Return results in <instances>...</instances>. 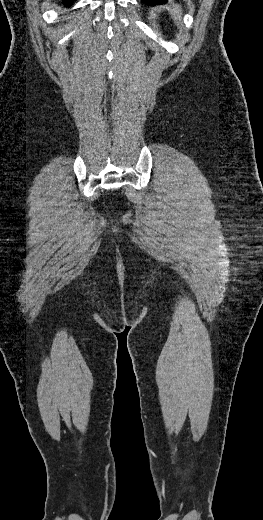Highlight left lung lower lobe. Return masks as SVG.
Segmentation results:
<instances>
[{
	"instance_id": "0a47b994",
	"label": "left lung lower lobe",
	"mask_w": 263,
	"mask_h": 520,
	"mask_svg": "<svg viewBox=\"0 0 263 520\" xmlns=\"http://www.w3.org/2000/svg\"><path fill=\"white\" fill-rule=\"evenodd\" d=\"M142 1H144L146 4L158 5V4L166 3L168 0H142Z\"/></svg>"
}]
</instances>
